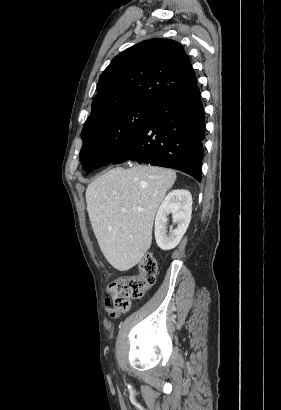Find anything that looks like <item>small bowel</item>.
I'll list each match as a JSON object with an SVG mask.
<instances>
[{
	"label": "small bowel",
	"mask_w": 281,
	"mask_h": 410,
	"mask_svg": "<svg viewBox=\"0 0 281 410\" xmlns=\"http://www.w3.org/2000/svg\"><path fill=\"white\" fill-rule=\"evenodd\" d=\"M106 306H107V311L109 313H113V311L108 307L109 306V301L108 300H106Z\"/></svg>",
	"instance_id": "1"
}]
</instances>
